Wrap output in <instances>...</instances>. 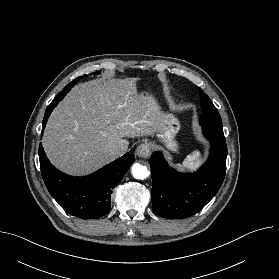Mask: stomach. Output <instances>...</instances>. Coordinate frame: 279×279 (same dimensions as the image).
<instances>
[{
    "instance_id": "stomach-1",
    "label": "stomach",
    "mask_w": 279,
    "mask_h": 279,
    "mask_svg": "<svg viewBox=\"0 0 279 279\" xmlns=\"http://www.w3.org/2000/svg\"><path fill=\"white\" fill-rule=\"evenodd\" d=\"M141 96L148 98L151 103L155 105L153 97L147 92L140 93ZM180 129V123L172 114H162L159 119L158 138L166 145V147L173 151H178V144L175 141V136Z\"/></svg>"
}]
</instances>
